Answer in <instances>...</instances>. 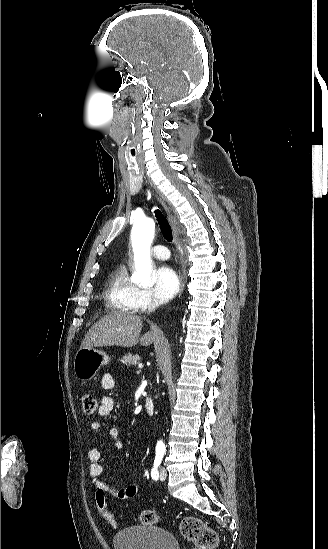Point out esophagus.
Instances as JSON below:
<instances>
[{
    "label": "esophagus",
    "mask_w": 328,
    "mask_h": 549,
    "mask_svg": "<svg viewBox=\"0 0 328 549\" xmlns=\"http://www.w3.org/2000/svg\"><path fill=\"white\" fill-rule=\"evenodd\" d=\"M158 199H159L160 203L163 205V207L167 210L165 201L160 197H158ZM167 216H168L169 222L172 225L174 242L176 244V247L178 248L179 225H178L177 219L169 210H167ZM179 281H180V287H179V294L178 295H179V297H181V295L183 294V291H184L185 282H184V278H183V275H182L180 270H179Z\"/></svg>",
    "instance_id": "esophagus-1"
}]
</instances>
